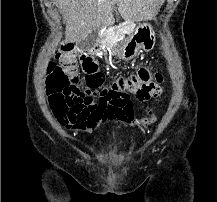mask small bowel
Here are the masks:
<instances>
[{
  "label": "small bowel",
  "instance_id": "obj_1",
  "mask_svg": "<svg viewBox=\"0 0 217 202\" xmlns=\"http://www.w3.org/2000/svg\"><path fill=\"white\" fill-rule=\"evenodd\" d=\"M93 66H96V65L93 63ZM85 89L86 90H102V85H86ZM96 96H99V93H97ZM146 116H152V114H146ZM146 116L144 118H146ZM144 118L142 120H146Z\"/></svg>",
  "mask_w": 217,
  "mask_h": 202
}]
</instances>
